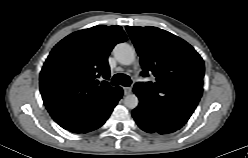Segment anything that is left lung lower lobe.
<instances>
[{"label": "left lung lower lobe", "instance_id": "obj_1", "mask_svg": "<svg viewBox=\"0 0 248 158\" xmlns=\"http://www.w3.org/2000/svg\"><path fill=\"white\" fill-rule=\"evenodd\" d=\"M132 115L138 126L148 133L167 134L181 128L142 103L133 110Z\"/></svg>", "mask_w": 248, "mask_h": 158}]
</instances>
